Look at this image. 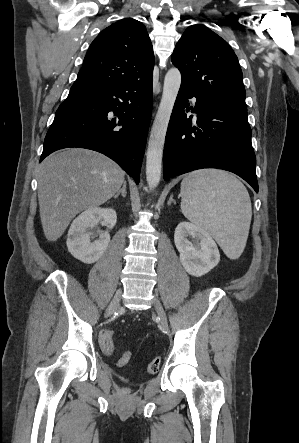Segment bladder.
<instances>
[{"label":"bladder","mask_w":299,"mask_h":443,"mask_svg":"<svg viewBox=\"0 0 299 443\" xmlns=\"http://www.w3.org/2000/svg\"><path fill=\"white\" fill-rule=\"evenodd\" d=\"M128 374H130V375H131V374H132V372H128Z\"/></svg>","instance_id":"1"}]
</instances>
